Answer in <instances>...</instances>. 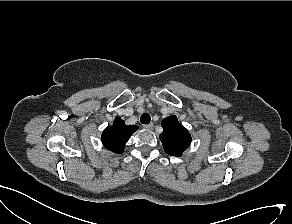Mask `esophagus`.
<instances>
[{
  "mask_svg": "<svg viewBox=\"0 0 292 224\" xmlns=\"http://www.w3.org/2000/svg\"><path fill=\"white\" fill-rule=\"evenodd\" d=\"M144 128L148 130H152L154 128V124L153 123L146 124L144 125Z\"/></svg>",
  "mask_w": 292,
  "mask_h": 224,
  "instance_id": "obj_1",
  "label": "esophagus"
}]
</instances>
